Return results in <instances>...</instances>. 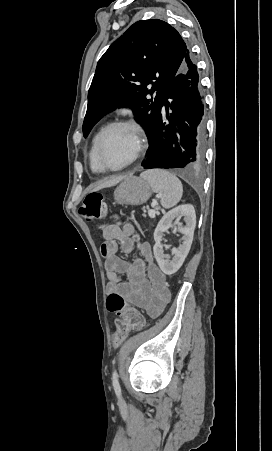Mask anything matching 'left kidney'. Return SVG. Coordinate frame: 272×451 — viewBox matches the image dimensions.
<instances>
[{"label": "left kidney", "mask_w": 272, "mask_h": 451, "mask_svg": "<svg viewBox=\"0 0 272 451\" xmlns=\"http://www.w3.org/2000/svg\"><path fill=\"white\" fill-rule=\"evenodd\" d=\"M181 216H185L184 222H186V226H181V224H178V226H173V220H175V218H181ZM195 226L196 214L191 204H184V206H177V208H173V210L167 212V214L161 218L160 222H158L154 231L155 245L153 247V251L156 261L163 273L172 275V273H175V271H178L179 267H181L185 257H187L189 253V249L193 241ZM169 227H173V233H176V231L183 233V241L181 245L171 249L173 253L172 259H170L171 255H169V253H163L164 249L161 243L162 237L165 235L164 231H168Z\"/></svg>", "instance_id": "5707ae66"}]
</instances>
